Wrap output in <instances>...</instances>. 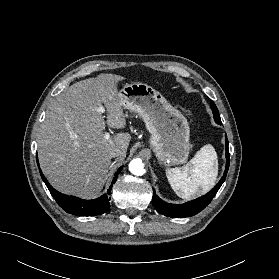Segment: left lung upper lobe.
Wrapping results in <instances>:
<instances>
[{"instance_id":"5c2ea615","label":"left lung upper lobe","mask_w":279,"mask_h":279,"mask_svg":"<svg viewBox=\"0 0 279 279\" xmlns=\"http://www.w3.org/2000/svg\"><path fill=\"white\" fill-rule=\"evenodd\" d=\"M211 109L213 110L215 122L221 124V119H220V116L218 113V109H217L216 105L214 104V102H211Z\"/></svg>"}]
</instances>
